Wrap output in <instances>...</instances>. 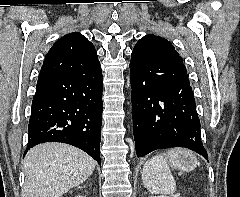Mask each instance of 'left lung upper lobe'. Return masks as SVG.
<instances>
[{
  "label": "left lung upper lobe",
  "instance_id": "1",
  "mask_svg": "<svg viewBox=\"0 0 240 197\" xmlns=\"http://www.w3.org/2000/svg\"><path fill=\"white\" fill-rule=\"evenodd\" d=\"M130 68L145 73L160 70L188 79L185 65L174 46L153 34L146 35L137 42L131 55Z\"/></svg>",
  "mask_w": 240,
  "mask_h": 197
}]
</instances>
